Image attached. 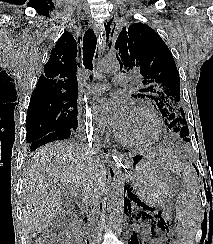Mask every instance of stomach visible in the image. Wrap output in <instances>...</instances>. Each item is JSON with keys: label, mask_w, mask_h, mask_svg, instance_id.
I'll use <instances>...</instances> for the list:
<instances>
[{"label": "stomach", "mask_w": 213, "mask_h": 244, "mask_svg": "<svg viewBox=\"0 0 213 244\" xmlns=\"http://www.w3.org/2000/svg\"><path fill=\"white\" fill-rule=\"evenodd\" d=\"M149 154H156V149H137V153L129 157L127 179L145 204L160 207L173 199L179 184L165 170V161Z\"/></svg>", "instance_id": "1"}]
</instances>
